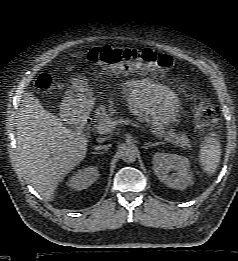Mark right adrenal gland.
Here are the masks:
<instances>
[{
    "mask_svg": "<svg viewBox=\"0 0 238 261\" xmlns=\"http://www.w3.org/2000/svg\"><path fill=\"white\" fill-rule=\"evenodd\" d=\"M104 152H94L93 154H103Z\"/></svg>",
    "mask_w": 238,
    "mask_h": 261,
    "instance_id": "obj_1",
    "label": "right adrenal gland"
}]
</instances>
